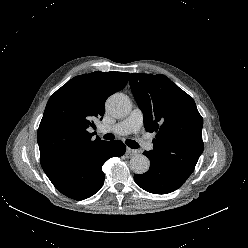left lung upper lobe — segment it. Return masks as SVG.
<instances>
[{
  "label": "left lung upper lobe",
  "mask_w": 248,
  "mask_h": 248,
  "mask_svg": "<svg viewBox=\"0 0 248 248\" xmlns=\"http://www.w3.org/2000/svg\"><path fill=\"white\" fill-rule=\"evenodd\" d=\"M130 87L148 132H156L149 156L186 181L203 152V119L194 100L165 75L132 73Z\"/></svg>",
  "instance_id": "left-lung-upper-lobe-1"
}]
</instances>
